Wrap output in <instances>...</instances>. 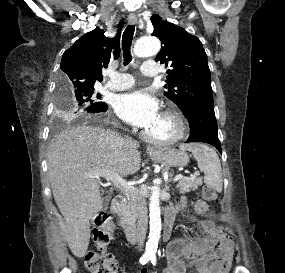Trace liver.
<instances>
[{"instance_id":"1","label":"liver","mask_w":285,"mask_h":273,"mask_svg":"<svg viewBox=\"0 0 285 273\" xmlns=\"http://www.w3.org/2000/svg\"><path fill=\"white\" fill-rule=\"evenodd\" d=\"M138 143H110L109 131L96 126L68 127L50 144L48 176L55 202L64 217L63 233L72 253L83 257L90 241V220L102 210L101 181L94 175L107 170L128 176L140 169Z\"/></svg>"}]
</instances>
